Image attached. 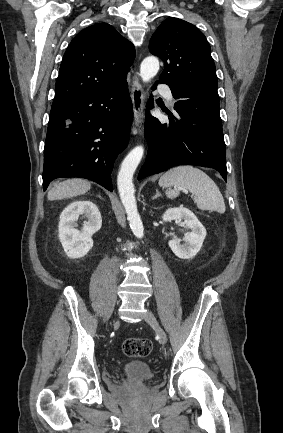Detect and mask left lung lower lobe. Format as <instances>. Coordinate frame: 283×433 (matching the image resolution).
Returning a JSON list of instances; mask_svg holds the SVG:
<instances>
[{
  "label": "left lung lower lobe",
  "mask_w": 283,
  "mask_h": 433,
  "mask_svg": "<svg viewBox=\"0 0 283 433\" xmlns=\"http://www.w3.org/2000/svg\"><path fill=\"white\" fill-rule=\"evenodd\" d=\"M161 83L157 81L156 85ZM153 98L147 104L152 107ZM169 122L147 114L144 133L149 143L146 162L138 180L178 165H198L216 169L227 181L222 125L184 112L167 113Z\"/></svg>",
  "instance_id": "0a47b994"
}]
</instances>
